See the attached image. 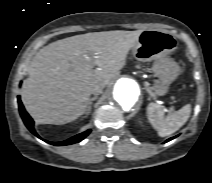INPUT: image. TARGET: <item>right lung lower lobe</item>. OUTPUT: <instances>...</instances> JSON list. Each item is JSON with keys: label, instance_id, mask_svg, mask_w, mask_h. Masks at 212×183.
I'll use <instances>...</instances> for the list:
<instances>
[{"label": "right lung lower lobe", "instance_id": "obj_1", "mask_svg": "<svg viewBox=\"0 0 212 183\" xmlns=\"http://www.w3.org/2000/svg\"><path fill=\"white\" fill-rule=\"evenodd\" d=\"M18 104H19V111H20V115L26 125V127L37 137H39V135L36 133L35 129H34V122L32 120V118L28 115V113L25 111L22 102L20 100V97L18 96ZM90 129L80 133L76 136H73L71 138H69L68 140L65 141H61V142H48L50 144L56 145V146H61V145H70V144H74V143H78L80 141H82L89 133H90ZM40 138V137H39Z\"/></svg>", "mask_w": 212, "mask_h": 183}]
</instances>
